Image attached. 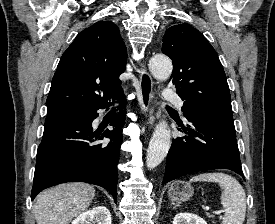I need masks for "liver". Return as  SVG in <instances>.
I'll return each mask as SVG.
<instances>
[{"mask_svg":"<svg viewBox=\"0 0 275 224\" xmlns=\"http://www.w3.org/2000/svg\"><path fill=\"white\" fill-rule=\"evenodd\" d=\"M95 196L87 183H64L41 192L34 201L37 224H68L86 210Z\"/></svg>","mask_w":275,"mask_h":224,"instance_id":"obj_1","label":"liver"}]
</instances>
